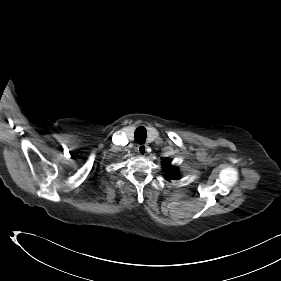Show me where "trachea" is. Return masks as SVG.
I'll list each match as a JSON object with an SVG mask.
<instances>
[{
  "label": "trachea",
  "instance_id": "obj_1",
  "mask_svg": "<svg viewBox=\"0 0 281 281\" xmlns=\"http://www.w3.org/2000/svg\"><path fill=\"white\" fill-rule=\"evenodd\" d=\"M134 135H135V141L137 143H140V144L145 143L147 134H146V129L144 127H142V126L138 127L136 129Z\"/></svg>",
  "mask_w": 281,
  "mask_h": 281
}]
</instances>
